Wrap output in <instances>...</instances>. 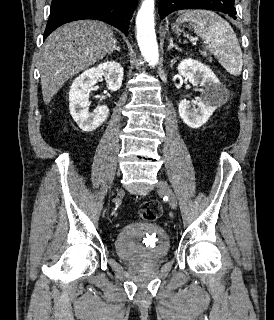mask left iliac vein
Returning a JSON list of instances; mask_svg holds the SVG:
<instances>
[{"mask_svg":"<svg viewBox=\"0 0 274 320\" xmlns=\"http://www.w3.org/2000/svg\"><path fill=\"white\" fill-rule=\"evenodd\" d=\"M157 187H158L159 191H161L164 195L167 196L170 206L173 209H176L177 208L176 197H175L172 189L168 185V183L166 181L161 180L158 182Z\"/></svg>","mask_w":274,"mask_h":320,"instance_id":"left-iliac-vein-1","label":"left iliac vein"}]
</instances>
